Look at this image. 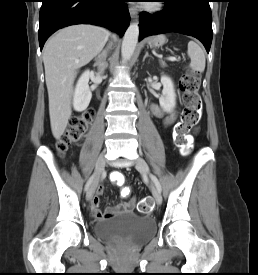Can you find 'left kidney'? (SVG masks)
I'll return each mask as SVG.
<instances>
[{
  "label": "left kidney",
  "mask_w": 258,
  "mask_h": 275,
  "mask_svg": "<svg viewBox=\"0 0 258 275\" xmlns=\"http://www.w3.org/2000/svg\"><path fill=\"white\" fill-rule=\"evenodd\" d=\"M161 83L163 85L162 95L159 98V104L163 111L171 113L176 106V93L174 84L170 77L166 75L161 76Z\"/></svg>",
  "instance_id": "left-kidney-1"
}]
</instances>
